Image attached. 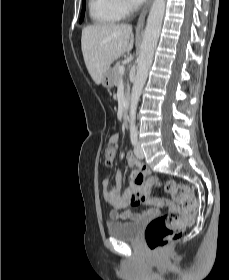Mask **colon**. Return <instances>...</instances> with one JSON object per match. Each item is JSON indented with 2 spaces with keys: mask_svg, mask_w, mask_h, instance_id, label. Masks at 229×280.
Segmentation results:
<instances>
[{
  "mask_svg": "<svg viewBox=\"0 0 229 280\" xmlns=\"http://www.w3.org/2000/svg\"><path fill=\"white\" fill-rule=\"evenodd\" d=\"M103 154L105 162L110 164L114 158V147L109 143L104 145ZM135 182L138 185L151 183L153 186H158L160 184V180L157 177L142 172L135 177ZM164 187L178 205L180 214L158 216L148 224L145 230V239L149 249L154 253H159L172 240L176 239L185 229L186 225L193 220L199 210V202L191 186L175 181H168L164 184ZM139 200V194L132 196L133 202L136 203ZM152 203L160 205L161 201L155 199Z\"/></svg>",
  "mask_w": 229,
  "mask_h": 280,
  "instance_id": "colon-1",
  "label": "colon"
}]
</instances>
